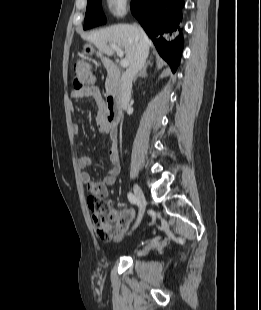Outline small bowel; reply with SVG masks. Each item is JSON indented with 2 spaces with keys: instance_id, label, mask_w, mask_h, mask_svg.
<instances>
[{
  "instance_id": "small-bowel-1",
  "label": "small bowel",
  "mask_w": 261,
  "mask_h": 310,
  "mask_svg": "<svg viewBox=\"0 0 261 310\" xmlns=\"http://www.w3.org/2000/svg\"><path fill=\"white\" fill-rule=\"evenodd\" d=\"M73 98L75 99L92 98L98 105L99 110H102L104 106L101 91L97 87L88 88L80 92L75 91L73 93ZM97 126L100 132L109 135L110 145L108 148V157L111 163V167L106 170L105 176L102 181H94L91 179L90 174L87 171H85V169L92 164L93 157L88 155L81 156L78 159V165L80 169H82V172L80 174L81 181L86 186L87 190L92 194L98 195L103 198H107L109 195L107 187L109 185L114 184L118 174L120 173V161H119L115 132L104 123L100 114L97 118ZM73 131L75 133H77L78 131V126L76 124L73 126ZM131 214L133 215L132 212ZM110 215L116 217L119 214L115 210H112Z\"/></svg>"
}]
</instances>
